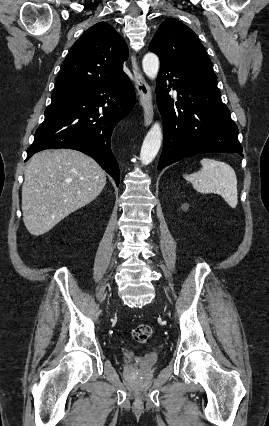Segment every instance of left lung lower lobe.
Listing matches in <instances>:
<instances>
[{"label":"left lung lower lobe","instance_id":"left-lung-lower-lobe-1","mask_svg":"<svg viewBox=\"0 0 269 426\" xmlns=\"http://www.w3.org/2000/svg\"><path fill=\"white\" fill-rule=\"evenodd\" d=\"M177 91L174 103L166 90ZM157 101L163 120L164 145L158 170L200 153H239L238 128L221 100L217 78L161 62Z\"/></svg>","mask_w":269,"mask_h":426}]
</instances>
